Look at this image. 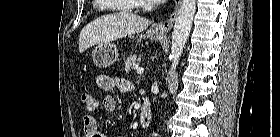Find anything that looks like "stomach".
<instances>
[{"label":"stomach","instance_id":"stomach-1","mask_svg":"<svg viewBox=\"0 0 280 137\" xmlns=\"http://www.w3.org/2000/svg\"><path fill=\"white\" fill-rule=\"evenodd\" d=\"M164 36L163 33L159 32L155 27H150L144 37L151 40L158 41ZM131 40L136 39L133 35L129 36ZM118 49L113 43L99 44L95 47L92 52V59L96 66L98 67H108L115 63L118 59Z\"/></svg>","mask_w":280,"mask_h":137}]
</instances>
